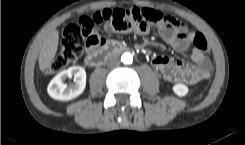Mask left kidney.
<instances>
[{"mask_svg":"<svg viewBox=\"0 0 245 145\" xmlns=\"http://www.w3.org/2000/svg\"><path fill=\"white\" fill-rule=\"evenodd\" d=\"M173 91L176 95L183 97L188 93L189 90L185 84L178 83L173 86Z\"/></svg>","mask_w":245,"mask_h":145,"instance_id":"left-kidney-1","label":"left kidney"}]
</instances>
